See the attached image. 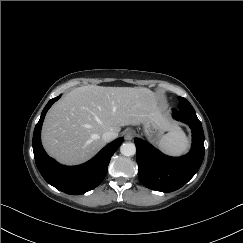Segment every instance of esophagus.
Wrapping results in <instances>:
<instances>
[{"instance_id":"34e87169","label":"esophagus","mask_w":243,"mask_h":243,"mask_svg":"<svg viewBox=\"0 0 243 243\" xmlns=\"http://www.w3.org/2000/svg\"><path fill=\"white\" fill-rule=\"evenodd\" d=\"M124 136H125L126 140H131L135 136V131L132 130V129H128V130L125 131V135Z\"/></svg>"}]
</instances>
